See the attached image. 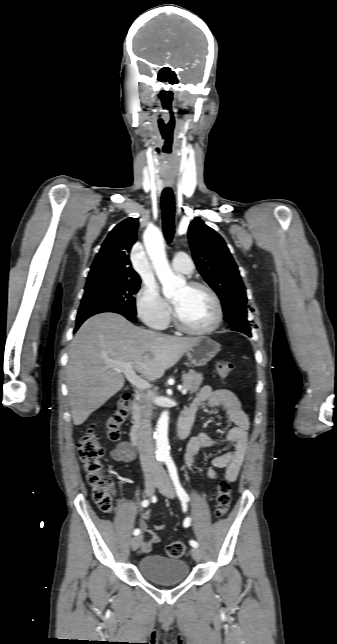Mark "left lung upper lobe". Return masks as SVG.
I'll return each instance as SVG.
<instances>
[{"label": "left lung upper lobe", "instance_id": "left-lung-upper-lobe-1", "mask_svg": "<svg viewBox=\"0 0 337 644\" xmlns=\"http://www.w3.org/2000/svg\"><path fill=\"white\" fill-rule=\"evenodd\" d=\"M188 238L197 269L219 296L229 327L251 337L245 287L223 238L199 217L190 223Z\"/></svg>", "mask_w": 337, "mask_h": 644}]
</instances>
